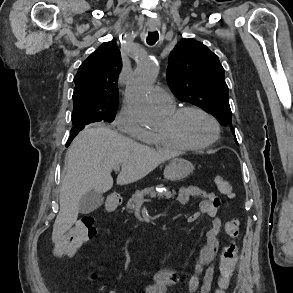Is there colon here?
Wrapping results in <instances>:
<instances>
[{
  "mask_svg": "<svg viewBox=\"0 0 293 293\" xmlns=\"http://www.w3.org/2000/svg\"><path fill=\"white\" fill-rule=\"evenodd\" d=\"M215 184L218 190L228 198L235 196L231 184L224 178L217 176ZM224 234L232 239L222 251L219 261L218 287L214 293H226L235 270L238 248L233 241L239 234V222L236 219L228 220L223 227ZM98 233L95 219L91 216L81 217L76 224L54 245L55 257H70L84 242L93 239Z\"/></svg>",
  "mask_w": 293,
  "mask_h": 293,
  "instance_id": "5ec220e1",
  "label": "colon"
}]
</instances>
